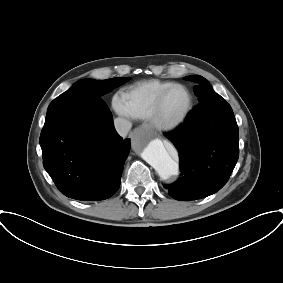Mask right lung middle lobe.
<instances>
[{"label":"right lung middle lobe","instance_id":"right-lung-middle-lobe-1","mask_svg":"<svg viewBox=\"0 0 283 283\" xmlns=\"http://www.w3.org/2000/svg\"><path fill=\"white\" fill-rule=\"evenodd\" d=\"M129 78L107 80L84 79L76 82L69 90L53 100L47 116L61 110H78L101 100V96L124 84Z\"/></svg>","mask_w":283,"mask_h":283}]
</instances>
